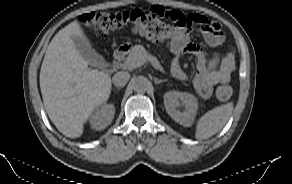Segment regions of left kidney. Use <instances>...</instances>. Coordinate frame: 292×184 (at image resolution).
Masks as SVG:
<instances>
[{
    "mask_svg": "<svg viewBox=\"0 0 292 184\" xmlns=\"http://www.w3.org/2000/svg\"><path fill=\"white\" fill-rule=\"evenodd\" d=\"M183 104L184 111L178 110L180 104ZM164 105L168 115L180 125L189 127L192 125L198 110V101L190 93L169 91L164 95Z\"/></svg>",
    "mask_w": 292,
    "mask_h": 184,
    "instance_id": "left-kidney-1",
    "label": "left kidney"
}]
</instances>
